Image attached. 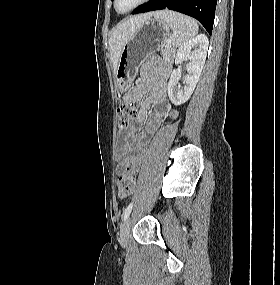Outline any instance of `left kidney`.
Returning a JSON list of instances; mask_svg holds the SVG:
<instances>
[{"label":"left kidney","instance_id":"1","mask_svg":"<svg viewBox=\"0 0 280 285\" xmlns=\"http://www.w3.org/2000/svg\"><path fill=\"white\" fill-rule=\"evenodd\" d=\"M208 38L200 34L187 41L177 51L175 64L189 60L186 65L187 74L183 86L179 84L180 70L174 69L168 83V96L174 105L185 103L192 95L201 75L208 50Z\"/></svg>","mask_w":280,"mask_h":285}]
</instances>
